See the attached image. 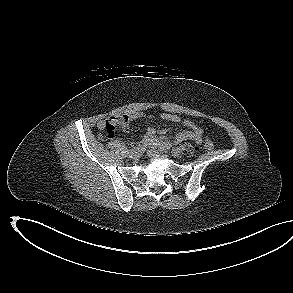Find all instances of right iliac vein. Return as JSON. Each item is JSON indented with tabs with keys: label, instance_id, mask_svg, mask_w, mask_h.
<instances>
[{
	"label": "right iliac vein",
	"instance_id": "right-iliac-vein-1",
	"mask_svg": "<svg viewBox=\"0 0 293 293\" xmlns=\"http://www.w3.org/2000/svg\"><path fill=\"white\" fill-rule=\"evenodd\" d=\"M139 154H140V151L139 150H136V149L130 150L128 152V156L130 158H133V159L138 158L139 157Z\"/></svg>",
	"mask_w": 293,
	"mask_h": 293
}]
</instances>
